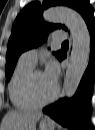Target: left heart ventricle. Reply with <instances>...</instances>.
Segmentation results:
<instances>
[{
	"label": "left heart ventricle",
	"mask_w": 95,
	"mask_h": 130,
	"mask_svg": "<svg viewBox=\"0 0 95 130\" xmlns=\"http://www.w3.org/2000/svg\"><path fill=\"white\" fill-rule=\"evenodd\" d=\"M34 85L37 96L42 100L50 98L55 92L56 86L46 79L43 72H38L35 75Z\"/></svg>",
	"instance_id": "obj_1"
}]
</instances>
